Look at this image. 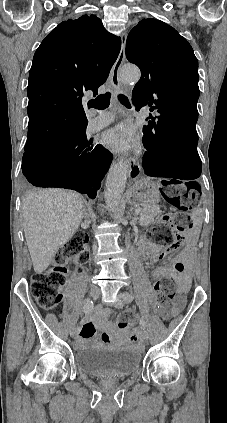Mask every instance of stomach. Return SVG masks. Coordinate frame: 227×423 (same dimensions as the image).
I'll use <instances>...</instances> for the list:
<instances>
[{
	"label": "stomach",
	"mask_w": 227,
	"mask_h": 423,
	"mask_svg": "<svg viewBox=\"0 0 227 423\" xmlns=\"http://www.w3.org/2000/svg\"><path fill=\"white\" fill-rule=\"evenodd\" d=\"M131 192L133 198L140 204H144V206H155L160 200L159 188L149 178H143V180L133 184Z\"/></svg>",
	"instance_id": "1"
}]
</instances>
